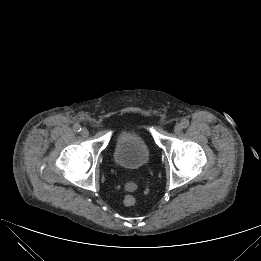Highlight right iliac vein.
<instances>
[{"mask_svg":"<svg viewBox=\"0 0 261 261\" xmlns=\"http://www.w3.org/2000/svg\"><path fill=\"white\" fill-rule=\"evenodd\" d=\"M88 133H89V131H88L87 128H82V130H81V135L82 136L86 137L88 135Z\"/></svg>","mask_w":261,"mask_h":261,"instance_id":"1","label":"right iliac vein"}]
</instances>
